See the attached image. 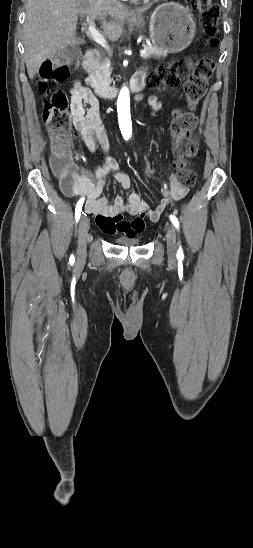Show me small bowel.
<instances>
[{
    "label": "small bowel",
    "instance_id": "c3829d8e",
    "mask_svg": "<svg viewBox=\"0 0 253 548\" xmlns=\"http://www.w3.org/2000/svg\"><path fill=\"white\" fill-rule=\"evenodd\" d=\"M136 75L144 76L143 71ZM144 97L139 96L141 100ZM148 105L158 110L160 103L155 96L146 98ZM85 104L88 108H85ZM72 123L91 153L99 145L105 153L103 166L94 169L75 166V172L67 182L60 181L62 192L70 197H86L85 211L96 216L97 226L106 234L122 233L125 236H136L145 229V217L156 221L172 201H179L186 196L189 187L182 185L173 175L168 186L169 197L162 199L155 209H150L137 193L129 192L126 199L121 196L110 201L103 195L108 182L112 179L122 189L131 186L130 177L119 170L117 160L110 154L106 130L102 124L99 103L93 93L79 82L71 90ZM129 214L135 218L128 222L122 217Z\"/></svg>",
    "mask_w": 253,
    "mask_h": 548
}]
</instances>
